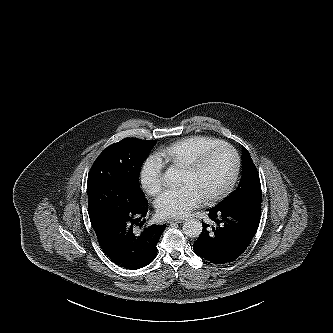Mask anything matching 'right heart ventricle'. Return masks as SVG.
<instances>
[{
    "mask_svg": "<svg viewBox=\"0 0 333 333\" xmlns=\"http://www.w3.org/2000/svg\"><path fill=\"white\" fill-rule=\"evenodd\" d=\"M221 140L204 135H196L177 140L159 151L161 158L172 166L182 168L204 149Z\"/></svg>",
    "mask_w": 333,
    "mask_h": 333,
    "instance_id": "right-heart-ventricle-1",
    "label": "right heart ventricle"
}]
</instances>
